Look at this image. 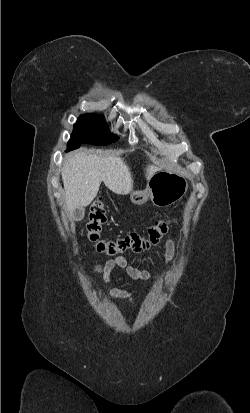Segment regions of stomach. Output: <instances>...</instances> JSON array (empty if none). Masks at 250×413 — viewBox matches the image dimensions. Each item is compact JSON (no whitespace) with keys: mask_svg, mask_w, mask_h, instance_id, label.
<instances>
[{"mask_svg":"<svg viewBox=\"0 0 250 413\" xmlns=\"http://www.w3.org/2000/svg\"><path fill=\"white\" fill-rule=\"evenodd\" d=\"M187 188L185 176L170 171H159L148 180L144 191L132 192L130 200L133 204L143 205L150 198L157 207H169L185 196Z\"/></svg>","mask_w":250,"mask_h":413,"instance_id":"stomach-1","label":"stomach"}]
</instances>
